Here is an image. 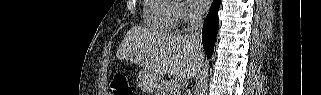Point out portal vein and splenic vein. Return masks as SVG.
<instances>
[{
	"label": "portal vein and splenic vein",
	"instance_id": "portal-vein-and-splenic-vein-1",
	"mask_svg": "<svg viewBox=\"0 0 321 95\" xmlns=\"http://www.w3.org/2000/svg\"><path fill=\"white\" fill-rule=\"evenodd\" d=\"M171 86L174 88V89H177V88H180V84L177 80H172L171 81Z\"/></svg>",
	"mask_w": 321,
	"mask_h": 95
}]
</instances>
